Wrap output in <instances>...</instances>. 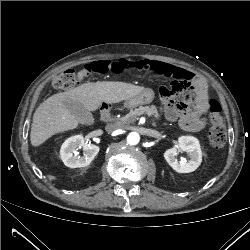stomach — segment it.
Masks as SVG:
<instances>
[{
    "label": "stomach",
    "instance_id": "obj_1",
    "mask_svg": "<svg viewBox=\"0 0 250 250\" xmlns=\"http://www.w3.org/2000/svg\"><path fill=\"white\" fill-rule=\"evenodd\" d=\"M154 91L152 89L146 88L138 95L125 101V106L128 108H133L139 105L149 104L154 99Z\"/></svg>",
    "mask_w": 250,
    "mask_h": 250
}]
</instances>
